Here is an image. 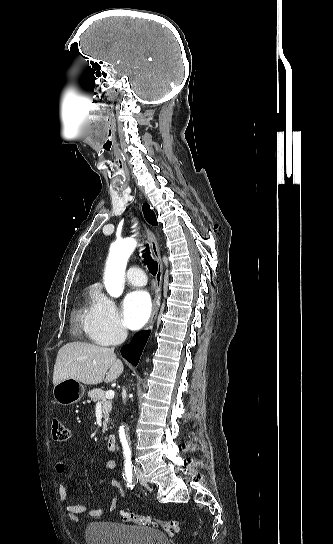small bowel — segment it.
<instances>
[{
  "label": "small bowel",
  "instance_id": "small-bowel-1",
  "mask_svg": "<svg viewBox=\"0 0 333 544\" xmlns=\"http://www.w3.org/2000/svg\"><path fill=\"white\" fill-rule=\"evenodd\" d=\"M115 467H116V462H115V460H112V459L108 460L106 462V464H105V468L107 470H112ZM55 469H56V472L58 474H64L65 473V471H66V456L61 457L57 461ZM111 487L116 489L121 496L125 495V491L122 489V487L120 486L118 481L112 480L111 481ZM58 491H59V497H60L61 501L65 504V510H66L68 516L70 517V519L72 521L78 522L79 521V516L81 514H87L89 517H92V518H98V517L103 515V513H104L103 508H88V507L80 505V504L70 503L69 498H68L67 489H66V487H65V485L63 483L59 484ZM117 506H118L117 497H114V499L112 500V502L109 505V509L111 511H114V510L117 509Z\"/></svg>",
  "mask_w": 333,
  "mask_h": 544
}]
</instances>
